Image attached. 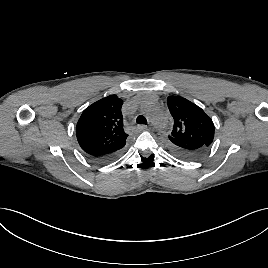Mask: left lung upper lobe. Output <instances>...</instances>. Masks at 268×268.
I'll list each match as a JSON object with an SVG mask.
<instances>
[{
  "instance_id": "1",
  "label": "left lung upper lobe",
  "mask_w": 268,
  "mask_h": 268,
  "mask_svg": "<svg viewBox=\"0 0 268 268\" xmlns=\"http://www.w3.org/2000/svg\"><path fill=\"white\" fill-rule=\"evenodd\" d=\"M174 126L168 141L201 142L210 147L214 139V124L210 117L197 105L179 96L167 98Z\"/></svg>"
}]
</instances>
